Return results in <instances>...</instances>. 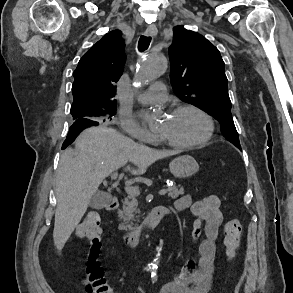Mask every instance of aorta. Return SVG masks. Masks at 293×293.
Here are the masks:
<instances>
[{
	"instance_id": "762f6f07",
	"label": "aorta",
	"mask_w": 293,
	"mask_h": 293,
	"mask_svg": "<svg viewBox=\"0 0 293 293\" xmlns=\"http://www.w3.org/2000/svg\"><path fill=\"white\" fill-rule=\"evenodd\" d=\"M167 65V60L162 54L149 53L141 59L139 68L135 75V80L144 85L162 75ZM146 120L151 119L149 113L144 115ZM159 257L157 256L150 264V268L155 271L158 268Z\"/></svg>"
}]
</instances>
